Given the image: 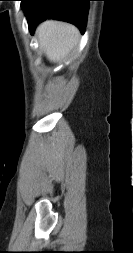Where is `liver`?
I'll return each instance as SVG.
<instances>
[{"label": "liver", "instance_id": "liver-1", "mask_svg": "<svg viewBox=\"0 0 133 253\" xmlns=\"http://www.w3.org/2000/svg\"><path fill=\"white\" fill-rule=\"evenodd\" d=\"M36 33L41 48L52 62L60 61L68 55L80 37L75 26L54 20L41 23Z\"/></svg>", "mask_w": 133, "mask_h": 253}]
</instances>
